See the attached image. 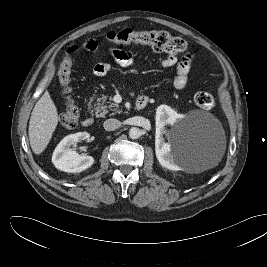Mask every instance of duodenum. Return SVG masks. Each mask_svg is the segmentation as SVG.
Here are the masks:
<instances>
[{"label":"duodenum","instance_id":"410a0bca","mask_svg":"<svg viewBox=\"0 0 267 267\" xmlns=\"http://www.w3.org/2000/svg\"><path fill=\"white\" fill-rule=\"evenodd\" d=\"M147 104H148V97L145 95H141L137 98L135 106H136V109L142 110L147 106ZM93 123H94V118L92 116H88L84 118L82 121V124L84 127H89L93 125Z\"/></svg>","mask_w":267,"mask_h":267}]
</instances>
